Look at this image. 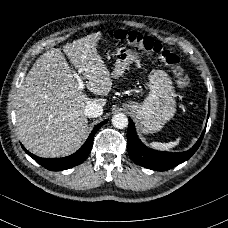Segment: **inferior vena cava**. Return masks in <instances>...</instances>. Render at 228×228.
<instances>
[{
  "instance_id": "1",
  "label": "inferior vena cava",
  "mask_w": 228,
  "mask_h": 228,
  "mask_svg": "<svg viewBox=\"0 0 228 228\" xmlns=\"http://www.w3.org/2000/svg\"><path fill=\"white\" fill-rule=\"evenodd\" d=\"M103 107L95 101H89L85 107L84 114L90 118H96L102 115Z\"/></svg>"
}]
</instances>
